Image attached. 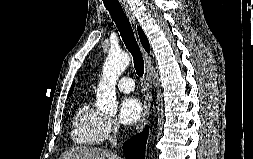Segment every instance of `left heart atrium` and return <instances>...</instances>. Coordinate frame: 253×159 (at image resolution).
Segmentation results:
<instances>
[{
    "mask_svg": "<svg viewBox=\"0 0 253 159\" xmlns=\"http://www.w3.org/2000/svg\"><path fill=\"white\" fill-rule=\"evenodd\" d=\"M142 115L140 101L132 96L125 97L119 107V120L122 124L134 125Z\"/></svg>",
    "mask_w": 253,
    "mask_h": 159,
    "instance_id": "left-heart-atrium-1",
    "label": "left heart atrium"
}]
</instances>
